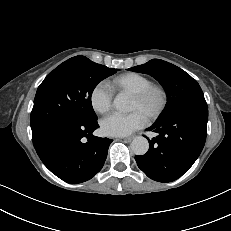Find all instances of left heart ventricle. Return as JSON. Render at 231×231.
<instances>
[{"mask_svg": "<svg viewBox=\"0 0 231 231\" xmlns=\"http://www.w3.org/2000/svg\"><path fill=\"white\" fill-rule=\"evenodd\" d=\"M158 104V97L156 95H152L146 102L140 103L135 100L133 97L131 98L130 102V110L131 111H140L144 115L152 109L156 107Z\"/></svg>", "mask_w": 231, "mask_h": 231, "instance_id": "b2bd125f", "label": "left heart ventricle"}]
</instances>
